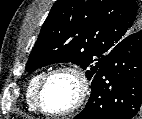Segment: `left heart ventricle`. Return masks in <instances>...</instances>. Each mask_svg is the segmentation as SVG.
<instances>
[{
    "mask_svg": "<svg viewBox=\"0 0 142 119\" xmlns=\"http://www.w3.org/2000/svg\"><path fill=\"white\" fill-rule=\"evenodd\" d=\"M77 93L78 84L71 74H57L49 80L45 87L44 107L50 111L66 110L75 102Z\"/></svg>",
    "mask_w": 142,
    "mask_h": 119,
    "instance_id": "1",
    "label": "left heart ventricle"
}]
</instances>
